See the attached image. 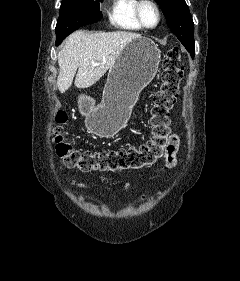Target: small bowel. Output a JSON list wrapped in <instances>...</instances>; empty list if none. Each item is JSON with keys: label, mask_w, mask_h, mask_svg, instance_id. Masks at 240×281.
Instances as JSON below:
<instances>
[{"label": "small bowel", "mask_w": 240, "mask_h": 281, "mask_svg": "<svg viewBox=\"0 0 240 281\" xmlns=\"http://www.w3.org/2000/svg\"><path fill=\"white\" fill-rule=\"evenodd\" d=\"M178 148H179V138L176 134H172L169 137V144H168V149H167V153L165 156V160H166V164H165V168H174L177 166V152H178ZM164 168L161 169L160 172H163ZM67 182H69L72 186L77 187L81 190H88V185L83 183V182H78L74 179L71 178H67ZM130 182L126 181L124 184V190L125 192H128L130 190Z\"/></svg>", "instance_id": "small-bowel-1"}]
</instances>
